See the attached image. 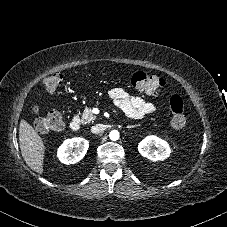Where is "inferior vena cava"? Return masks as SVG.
I'll use <instances>...</instances> for the list:
<instances>
[{"instance_id": "1", "label": "inferior vena cava", "mask_w": 227, "mask_h": 227, "mask_svg": "<svg viewBox=\"0 0 227 227\" xmlns=\"http://www.w3.org/2000/svg\"><path fill=\"white\" fill-rule=\"evenodd\" d=\"M105 130V126L102 124H96L91 128V132L94 134H99Z\"/></svg>"}]
</instances>
